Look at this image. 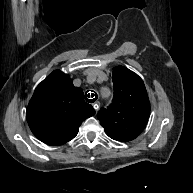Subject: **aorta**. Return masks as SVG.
<instances>
[{
  "instance_id": "aorta-1",
  "label": "aorta",
  "mask_w": 193,
  "mask_h": 193,
  "mask_svg": "<svg viewBox=\"0 0 193 193\" xmlns=\"http://www.w3.org/2000/svg\"><path fill=\"white\" fill-rule=\"evenodd\" d=\"M102 95L105 97V98H109L110 97V90L107 89V88H103L102 91H101Z\"/></svg>"
}]
</instances>
